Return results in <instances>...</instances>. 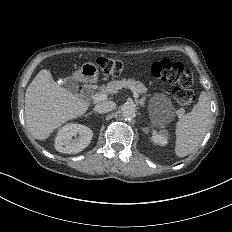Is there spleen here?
Here are the masks:
<instances>
[{
  "label": "spleen",
  "mask_w": 232,
  "mask_h": 232,
  "mask_svg": "<svg viewBox=\"0 0 232 232\" xmlns=\"http://www.w3.org/2000/svg\"><path fill=\"white\" fill-rule=\"evenodd\" d=\"M211 118L210 100L202 91L190 113L182 115L176 125L175 153L185 157L192 153L204 138Z\"/></svg>",
  "instance_id": "spleen-1"
}]
</instances>
